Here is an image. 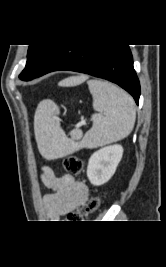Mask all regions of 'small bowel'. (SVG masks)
<instances>
[{
	"mask_svg": "<svg viewBox=\"0 0 166 267\" xmlns=\"http://www.w3.org/2000/svg\"><path fill=\"white\" fill-rule=\"evenodd\" d=\"M41 179L52 192L43 198L47 216L59 219L82 206L88 198V188L69 174L57 176L50 166L41 168Z\"/></svg>",
	"mask_w": 166,
	"mask_h": 267,
	"instance_id": "1",
	"label": "small bowel"
}]
</instances>
